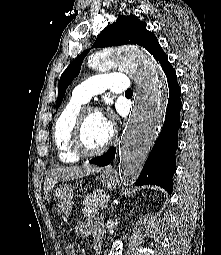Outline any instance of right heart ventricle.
I'll return each mask as SVG.
<instances>
[{"mask_svg": "<svg viewBox=\"0 0 221 255\" xmlns=\"http://www.w3.org/2000/svg\"><path fill=\"white\" fill-rule=\"evenodd\" d=\"M81 104L70 101L58 114L53 126V141L59 160L74 164L80 160L72 148V134L80 116Z\"/></svg>", "mask_w": 221, "mask_h": 255, "instance_id": "obj_1", "label": "right heart ventricle"}]
</instances>
